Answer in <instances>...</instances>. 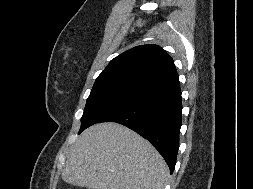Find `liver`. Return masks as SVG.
<instances>
[{"label":"liver","instance_id":"6515ba94","mask_svg":"<svg viewBox=\"0 0 253 189\" xmlns=\"http://www.w3.org/2000/svg\"><path fill=\"white\" fill-rule=\"evenodd\" d=\"M169 169L143 137L117 123L86 129L70 148L62 179L88 189H164Z\"/></svg>","mask_w":253,"mask_h":189}]
</instances>
